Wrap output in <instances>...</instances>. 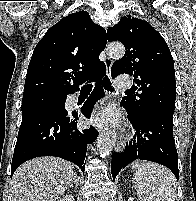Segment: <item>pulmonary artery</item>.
I'll return each mask as SVG.
<instances>
[{
  "label": "pulmonary artery",
  "mask_w": 196,
  "mask_h": 201,
  "mask_svg": "<svg viewBox=\"0 0 196 201\" xmlns=\"http://www.w3.org/2000/svg\"><path fill=\"white\" fill-rule=\"evenodd\" d=\"M131 85V81L127 77H120L115 80L114 86L117 89H127Z\"/></svg>",
  "instance_id": "obj_1"
}]
</instances>
